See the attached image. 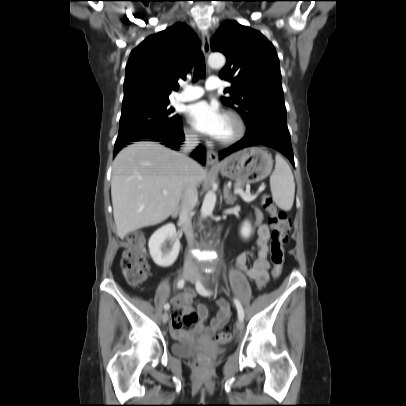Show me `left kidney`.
<instances>
[{"label": "left kidney", "mask_w": 406, "mask_h": 406, "mask_svg": "<svg viewBox=\"0 0 406 406\" xmlns=\"http://www.w3.org/2000/svg\"><path fill=\"white\" fill-rule=\"evenodd\" d=\"M251 232H252L251 223L248 220L244 221L243 224L240 227V235L244 239H246V238H248L250 236Z\"/></svg>", "instance_id": "1"}]
</instances>
